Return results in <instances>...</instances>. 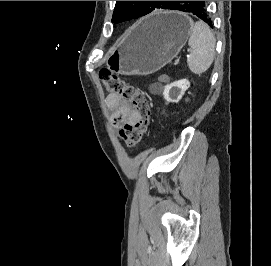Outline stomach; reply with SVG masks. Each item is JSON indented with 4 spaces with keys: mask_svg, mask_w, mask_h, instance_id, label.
Masks as SVG:
<instances>
[{
    "mask_svg": "<svg viewBox=\"0 0 271 266\" xmlns=\"http://www.w3.org/2000/svg\"><path fill=\"white\" fill-rule=\"evenodd\" d=\"M192 25L187 15L177 11L149 15L122 37L106 64L119 74H152L178 55L190 37Z\"/></svg>",
    "mask_w": 271,
    "mask_h": 266,
    "instance_id": "stomach-1",
    "label": "stomach"
}]
</instances>
